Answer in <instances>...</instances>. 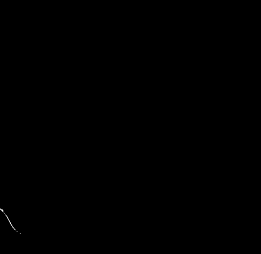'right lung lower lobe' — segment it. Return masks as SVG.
Wrapping results in <instances>:
<instances>
[{
	"mask_svg": "<svg viewBox=\"0 0 261 254\" xmlns=\"http://www.w3.org/2000/svg\"><path fill=\"white\" fill-rule=\"evenodd\" d=\"M100 142L68 122L53 123L45 135V152L51 176L64 193L89 200L100 196L109 163L94 153Z\"/></svg>",
	"mask_w": 261,
	"mask_h": 254,
	"instance_id": "1",
	"label": "right lung lower lobe"
}]
</instances>
